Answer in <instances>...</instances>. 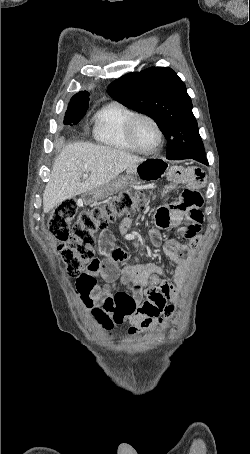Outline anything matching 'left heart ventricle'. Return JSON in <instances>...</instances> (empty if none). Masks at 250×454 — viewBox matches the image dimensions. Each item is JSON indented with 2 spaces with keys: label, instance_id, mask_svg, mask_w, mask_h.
<instances>
[{
  "label": "left heart ventricle",
  "instance_id": "1",
  "mask_svg": "<svg viewBox=\"0 0 250 454\" xmlns=\"http://www.w3.org/2000/svg\"><path fill=\"white\" fill-rule=\"evenodd\" d=\"M135 135L139 145L146 150L154 148L159 140L155 127L147 120L137 123Z\"/></svg>",
  "mask_w": 250,
  "mask_h": 454
}]
</instances>
